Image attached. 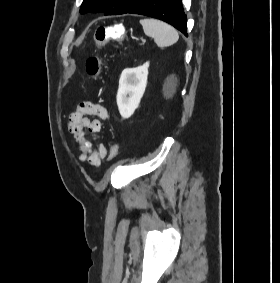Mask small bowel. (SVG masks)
Listing matches in <instances>:
<instances>
[{
  "label": "small bowel",
  "mask_w": 280,
  "mask_h": 283,
  "mask_svg": "<svg viewBox=\"0 0 280 283\" xmlns=\"http://www.w3.org/2000/svg\"><path fill=\"white\" fill-rule=\"evenodd\" d=\"M89 116H95L96 119ZM109 120V113L104 106L98 103L82 102L74 110L68 121V130L74 137L79 150L78 160L80 162H88L92 167H98L101 161L110 156L114 146L110 150L102 144L97 143L93 149V143L88 135L93 140L97 139L101 131V121Z\"/></svg>",
  "instance_id": "obj_1"
}]
</instances>
